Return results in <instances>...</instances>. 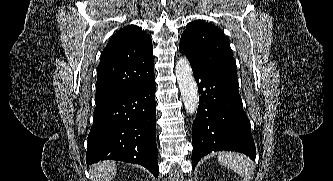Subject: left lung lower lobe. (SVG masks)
<instances>
[{"instance_id":"0a47b994","label":"left lung lower lobe","mask_w":333,"mask_h":181,"mask_svg":"<svg viewBox=\"0 0 333 181\" xmlns=\"http://www.w3.org/2000/svg\"><path fill=\"white\" fill-rule=\"evenodd\" d=\"M198 84L199 106L193 122L192 165L212 151H236L255 160L251 125L238 91V82L191 64Z\"/></svg>"}]
</instances>
